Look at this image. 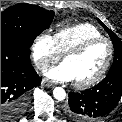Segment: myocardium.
<instances>
[{"label": "myocardium", "mask_w": 122, "mask_h": 122, "mask_svg": "<svg viewBox=\"0 0 122 122\" xmlns=\"http://www.w3.org/2000/svg\"><path fill=\"white\" fill-rule=\"evenodd\" d=\"M99 42H106L108 44L109 47V54L108 57L104 63V65L102 66V68L100 69V71L91 79L84 81V82H74V86L78 89H86V88H90L96 84H98L106 75L107 71L110 68V65L112 63L113 57H114V45L113 42L104 36L101 37H96V38H91L88 39L82 43H80L79 45L69 49L68 51H66L63 54V61L70 56H77L82 54L85 50H87L90 46L99 43Z\"/></svg>", "instance_id": "obj_1"}]
</instances>
